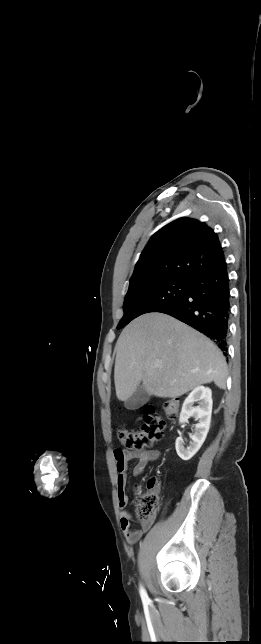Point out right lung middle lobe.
I'll list each match as a JSON object with an SVG mask.
<instances>
[{
	"label": "right lung middle lobe",
	"mask_w": 261,
	"mask_h": 644,
	"mask_svg": "<svg viewBox=\"0 0 261 644\" xmlns=\"http://www.w3.org/2000/svg\"><path fill=\"white\" fill-rule=\"evenodd\" d=\"M188 287V279L168 278L128 289L123 305L124 315L117 329L142 314L158 312L175 305L186 295Z\"/></svg>",
	"instance_id": "dd1d6c3e"
}]
</instances>
